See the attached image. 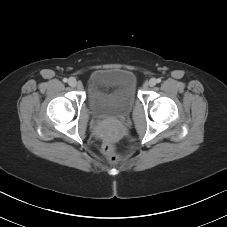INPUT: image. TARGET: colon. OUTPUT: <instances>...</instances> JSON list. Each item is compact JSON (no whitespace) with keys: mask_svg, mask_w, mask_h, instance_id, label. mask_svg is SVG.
<instances>
[{"mask_svg":"<svg viewBox=\"0 0 227 227\" xmlns=\"http://www.w3.org/2000/svg\"><path fill=\"white\" fill-rule=\"evenodd\" d=\"M102 153L110 162H117L120 160V155L116 152L115 146L112 143H104L102 145Z\"/></svg>","mask_w":227,"mask_h":227,"instance_id":"colon-1","label":"colon"}]
</instances>
